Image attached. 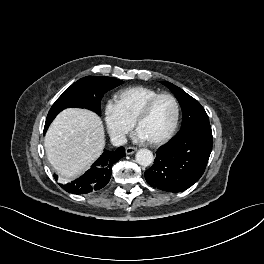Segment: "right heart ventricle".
<instances>
[{
	"label": "right heart ventricle",
	"mask_w": 264,
	"mask_h": 264,
	"mask_svg": "<svg viewBox=\"0 0 264 264\" xmlns=\"http://www.w3.org/2000/svg\"><path fill=\"white\" fill-rule=\"evenodd\" d=\"M157 94H159V91L150 87H130L115 95V104L129 120L135 122L137 115L146 102Z\"/></svg>",
	"instance_id": "e07e8e85"
}]
</instances>
